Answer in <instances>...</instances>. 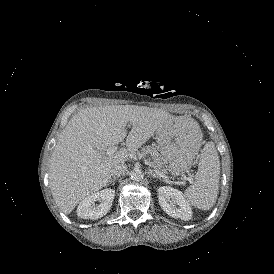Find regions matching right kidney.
Returning a JSON list of instances; mask_svg holds the SVG:
<instances>
[{"mask_svg": "<svg viewBox=\"0 0 274 274\" xmlns=\"http://www.w3.org/2000/svg\"><path fill=\"white\" fill-rule=\"evenodd\" d=\"M115 190L104 189L99 192L88 195L80 201L77 207V216L82 219L96 220L106 215L114 200ZM99 201L100 204L95 206V202Z\"/></svg>", "mask_w": 274, "mask_h": 274, "instance_id": "1", "label": "right kidney"}]
</instances>
